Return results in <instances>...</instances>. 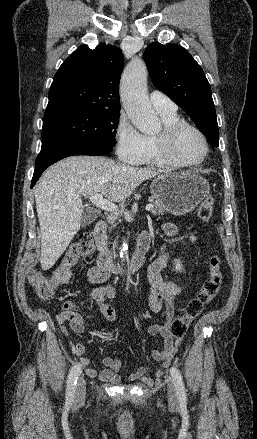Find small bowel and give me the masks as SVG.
I'll list each match as a JSON object with an SVG mask.
<instances>
[{"label":"small bowel","mask_w":257,"mask_h":439,"mask_svg":"<svg viewBox=\"0 0 257 439\" xmlns=\"http://www.w3.org/2000/svg\"><path fill=\"white\" fill-rule=\"evenodd\" d=\"M164 231L167 235L174 237L177 235V228L172 224H166ZM147 237L142 234L140 238ZM193 241V235H186ZM169 261L168 253L165 246L159 248V257L150 265L148 270V282L150 293L148 307L154 313L164 312L165 322L162 324H153L148 327V333L151 336H161L164 339V349L152 351V357L157 362L169 365L174 359L175 354L180 347L183 338L174 339L169 334L170 320L175 310V298L181 292L180 286L172 281L162 277V271ZM89 281L98 285L108 281V277L97 269L93 268L88 274ZM116 294L115 287L108 283L105 286H95L88 298L84 301H65L62 304L61 311L57 314L56 320L59 325L68 323L69 328L75 333H82L85 330L87 319L82 315L81 308L86 302H93L99 309L101 315L108 322L116 320V313L111 300ZM71 349L74 355L79 357V364L85 368L86 374L90 378H99V380L110 383H120L122 376L119 374L123 367V361L119 357H104L102 364L104 369L97 371L91 367V360L85 357L86 349L81 343H72ZM146 369L139 367L132 370L126 377L128 381L144 380Z\"/></svg>","instance_id":"small-bowel-1"}]
</instances>
